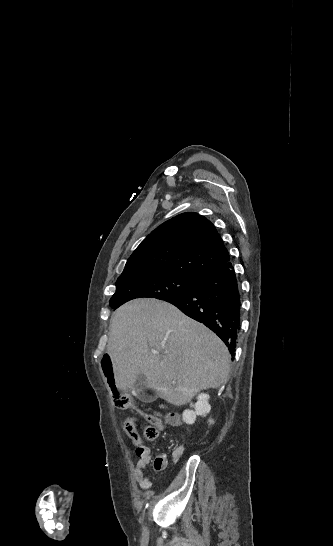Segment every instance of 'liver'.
Segmentation results:
<instances>
[{"label": "liver", "instance_id": "1", "mask_svg": "<svg viewBox=\"0 0 333 546\" xmlns=\"http://www.w3.org/2000/svg\"><path fill=\"white\" fill-rule=\"evenodd\" d=\"M107 353L117 389H134L144 374L146 386L176 406L229 379L230 354L217 335L156 299L132 300L115 311Z\"/></svg>", "mask_w": 333, "mask_h": 546}]
</instances>
